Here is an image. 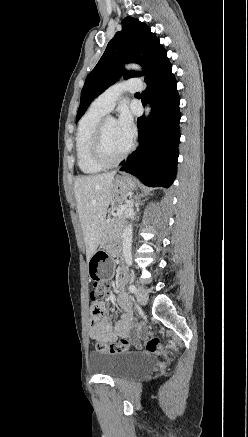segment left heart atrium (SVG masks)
<instances>
[{"mask_svg": "<svg viewBox=\"0 0 248 437\" xmlns=\"http://www.w3.org/2000/svg\"><path fill=\"white\" fill-rule=\"evenodd\" d=\"M116 125L121 135L128 141H132L135 128L132 115L127 108L121 109L119 117L116 120Z\"/></svg>", "mask_w": 248, "mask_h": 437, "instance_id": "obj_1", "label": "left heart atrium"}]
</instances>
